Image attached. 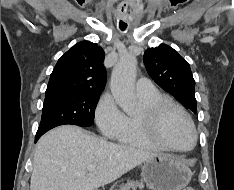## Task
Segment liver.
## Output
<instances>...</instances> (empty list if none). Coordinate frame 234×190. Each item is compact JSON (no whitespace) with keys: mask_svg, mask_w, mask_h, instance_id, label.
Returning <instances> with one entry per match:
<instances>
[{"mask_svg":"<svg viewBox=\"0 0 234 190\" xmlns=\"http://www.w3.org/2000/svg\"><path fill=\"white\" fill-rule=\"evenodd\" d=\"M156 155L60 126L36 145L30 190H98ZM91 164L96 169L87 172Z\"/></svg>","mask_w":234,"mask_h":190,"instance_id":"6515ba94","label":"liver"}]
</instances>
